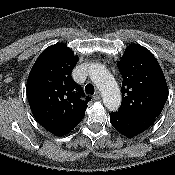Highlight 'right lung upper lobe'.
I'll return each mask as SVG.
<instances>
[{
	"instance_id": "right-lung-upper-lobe-1",
	"label": "right lung upper lobe",
	"mask_w": 175,
	"mask_h": 175,
	"mask_svg": "<svg viewBox=\"0 0 175 175\" xmlns=\"http://www.w3.org/2000/svg\"><path fill=\"white\" fill-rule=\"evenodd\" d=\"M78 62L65 44L47 47L34 63L27 79L31 111L46 130L56 132L77 126L90 101L71 73Z\"/></svg>"
}]
</instances>
